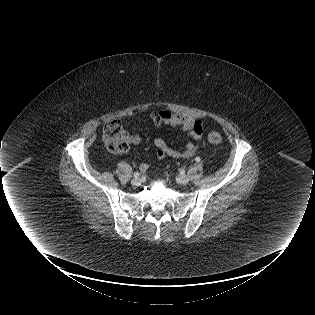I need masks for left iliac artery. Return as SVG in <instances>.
Masks as SVG:
<instances>
[{"label": "left iliac artery", "mask_w": 315, "mask_h": 315, "mask_svg": "<svg viewBox=\"0 0 315 315\" xmlns=\"http://www.w3.org/2000/svg\"><path fill=\"white\" fill-rule=\"evenodd\" d=\"M195 161H196V162H200V157H196V158H195Z\"/></svg>", "instance_id": "obj_1"}]
</instances>
